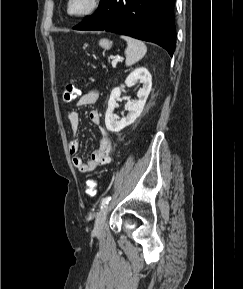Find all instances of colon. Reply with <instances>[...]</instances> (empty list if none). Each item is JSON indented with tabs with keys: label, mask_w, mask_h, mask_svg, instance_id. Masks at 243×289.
I'll list each match as a JSON object with an SVG mask.
<instances>
[{
	"label": "colon",
	"mask_w": 243,
	"mask_h": 289,
	"mask_svg": "<svg viewBox=\"0 0 243 289\" xmlns=\"http://www.w3.org/2000/svg\"><path fill=\"white\" fill-rule=\"evenodd\" d=\"M79 94H80V90L77 87V85L73 84V83H70V84H67L64 87L62 98H63V101L65 103H70ZM85 192H86L87 196H89V197L95 196V194L97 192V183H96L95 180L90 179V180L87 181V183H86V191Z\"/></svg>",
	"instance_id": "colon-1"
}]
</instances>
